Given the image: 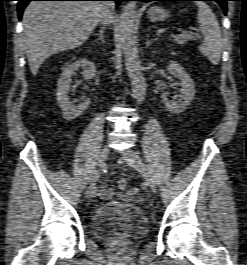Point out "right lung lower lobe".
Here are the masks:
<instances>
[{"mask_svg": "<svg viewBox=\"0 0 247 265\" xmlns=\"http://www.w3.org/2000/svg\"><path fill=\"white\" fill-rule=\"evenodd\" d=\"M30 1H115L117 5L121 3V1L127 0H18V16L19 19L22 17L23 10L28 5Z\"/></svg>", "mask_w": 247, "mask_h": 265, "instance_id": "98d812e1", "label": "right lung lower lobe"}]
</instances>
